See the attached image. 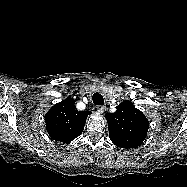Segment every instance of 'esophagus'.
<instances>
[{
    "instance_id": "esophagus-1",
    "label": "esophagus",
    "mask_w": 187,
    "mask_h": 187,
    "mask_svg": "<svg viewBox=\"0 0 187 187\" xmlns=\"http://www.w3.org/2000/svg\"><path fill=\"white\" fill-rule=\"evenodd\" d=\"M106 110L105 106H97V111L103 113Z\"/></svg>"
}]
</instances>
